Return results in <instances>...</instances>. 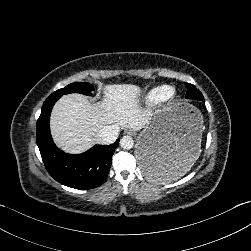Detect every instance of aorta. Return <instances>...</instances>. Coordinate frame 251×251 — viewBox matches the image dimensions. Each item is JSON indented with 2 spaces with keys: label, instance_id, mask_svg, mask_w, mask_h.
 <instances>
[{
  "label": "aorta",
  "instance_id": "aorta-1",
  "mask_svg": "<svg viewBox=\"0 0 251 251\" xmlns=\"http://www.w3.org/2000/svg\"><path fill=\"white\" fill-rule=\"evenodd\" d=\"M133 145H134V140L131 136H123L121 139H120V146L123 148V149H126V150H129L131 148H133Z\"/></svg>",
  "mask_w": 251,
  "mask_h": 251
}]
</instances>
